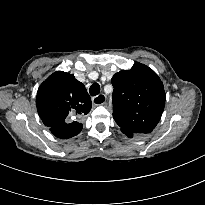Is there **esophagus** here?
<instances>
[{
	"instance_id": "1",
	"label": "esophagus",
	"mask_w": 205,
	"mask_h": 205,
	"mask_svg": "<svg viewBox=\"0 0 205 205\" xmlns=\"http://www.w3.org/2000/svg\"><path fill=\"white\" fill-rule=\"evenodd\" d=\"M106 101V96L104 94H99L92 98V102L94 105H102Z\"/></svg>"
}]
</instances>
